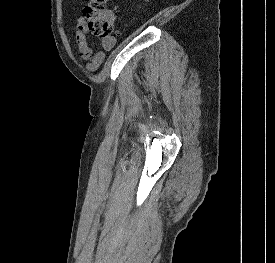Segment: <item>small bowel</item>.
<instances>
[{
	"mask_svg": "<svg viewBox=\"0 0 275 263\" xmlns=\"http://www.w3.org/2000/svg\"><path fill=\"white\" fill-rule=\"evenodd\" d=\"M108 17L111 21L114 20L112 14H108ZM86 33L87 28L85 25V20L80 18L75 26V39L78 46V57L81 62L84 60L87 61L86 69L88 71L94 72L104 62L106 57L105 51H109L114 48L116 44V38L112 37L109 40H103L102 48L104 51L93 53L92 49L87 43Z\"/></svg>",
	"mask_w": 275,
	"mask_h": 263,
	"instance_id": "1",
	"label": "small bowel"
}]
</instances>
